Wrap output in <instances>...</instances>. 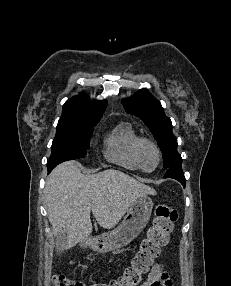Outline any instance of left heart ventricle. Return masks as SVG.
I'll list each match as a JSON object with an SVG mask.
<instances>
[{
    "mask_svg": "<svg viewBox=\"0 0 231 286\" xmlns=\"http://www.w3.org/2000/svg\"><path fill=\"white\" fill-rule=\"evenodd\" d=\"M142 165L147 170H152L157 164V155L154 149L148 145L142 148L141 152Z\"/></svg>",
    "mask_w": 231,
    "mask_h": 286,
    "instance_id": "1",
    "label": "left heart ventricle"
}]
</instances>
